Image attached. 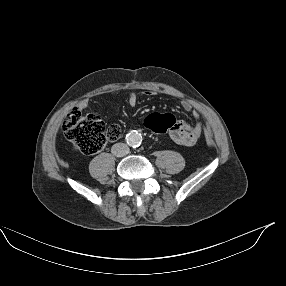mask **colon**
<instances>
[{"instance_id":"5ec220e1","label":"colon","mask_w":286,"mask_h":286,"mask_svg":"<svg viewBox=\"0 0 286 286\" xmlns=\"http://www.w3.org/2000/svg\"><path fill=\"white\" fill-rule=\"evenodd\" d=\"M179 124V120L171 113L153 111L145 119L147 129L155 136H165ZM63 132L74 148L85 155H93L101 151L107 142L116 141L121 136V128L117 124L107 125L99 116L82 114L79 110H71L64 122Z\"/></svg>"}]
</instances>
